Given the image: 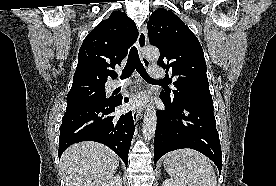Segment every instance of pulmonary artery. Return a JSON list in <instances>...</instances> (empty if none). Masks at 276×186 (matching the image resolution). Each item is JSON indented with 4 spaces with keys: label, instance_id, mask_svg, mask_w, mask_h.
<instances>
[{
    "label": "pulmonary artery",
    "instance_id": "obj_1",
    "mask_svg": "<svg viewBox=\"0 0 276 186\" xmlns=\"http://www.w3.org/2000/svg\"><path fill=\"white\" fill-rule=\"evenodd\" d=\"M148 72L150 74L151 77L153 78H161L164 75V71L160 66H156V65H151L148 67ZM132 83V80L127 79V80H117L114 81L111 84V89H117L119 87H125L128 86Z\"/></svg>",
    "mask_w": 276,
    "mask_h": 186
}]
</instances>
